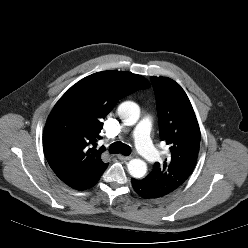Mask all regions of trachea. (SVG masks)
Wrapping results in <instances>:
<instances>
[{"instance_id": "obj_1", "label": "trachea", "mask_w": 248, "mask_h": 248, "mask_svg": "<svg viewBox=\"0 0 248 248\" xmlns=\"http://www.w3.org/2000/svg\"><path fill=\"white\" fill-rule=\"evenodd\" d=\"M109 151L112 154H123L124 156H129L131 154V147L123 144L121 142H114L110 145Z\"/></svg>"}]
</instances>
